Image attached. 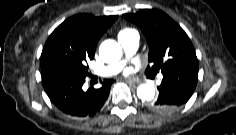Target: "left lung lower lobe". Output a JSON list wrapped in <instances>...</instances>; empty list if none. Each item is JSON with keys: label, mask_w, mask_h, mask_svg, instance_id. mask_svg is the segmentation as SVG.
<instances>
[{"label": "left lung lower lobe", "mask_w": 236, "mask_h": 135, "mask_svg": "<svg viewBox=\"0 0 236 135\" xmlns=\"http://www.w3.org/2000/svg\"><path fill=\"white\" fill-rule=\"evenodd\" d=\"M198 66L177 68L163 73L158 98L150 103L152 110L161 113L174 111L187 103L196 88Z\"/></svg>", "instance_id": "1"}]
</instances>
